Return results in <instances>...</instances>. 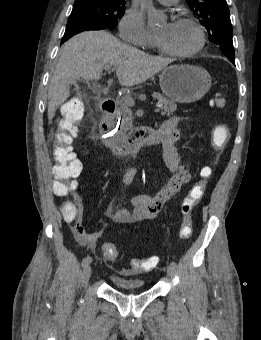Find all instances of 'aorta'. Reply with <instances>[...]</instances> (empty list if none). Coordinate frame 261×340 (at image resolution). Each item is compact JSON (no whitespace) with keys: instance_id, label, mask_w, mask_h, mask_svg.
<instances>
[{"instance_id":"aorta-1","label":"aorta","mask_w":261,"mask_h":340,"mask_svg":"<svg viewBox=\"0 0 261 340\" xmlns=\"http://www.w3.org/2000/svg\"><path fill=\"white\" fill-rule=\"evenodd\" d=\"M141 8L147 14V24L150 27H155L163 20V15L158 12L152 3V0H142Z\"/></svg>"}]
</instances>
